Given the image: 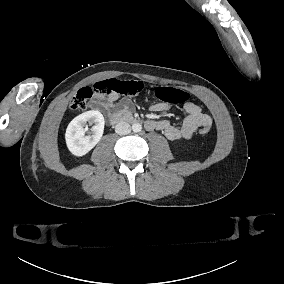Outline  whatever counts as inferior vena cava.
I'll return each instance as SVG.
<instances>
[{
	"mask_svg": "<svg viewBox=\"0 0 284 284\" xmlns=\"http://www.w3.org/2000/svg\"><path fill=\"white\" fill-rule=\"evenodd\" d=\"M115 132L118 135H127L131 132V126L127 122H120L115 126Z\"/></svg>",
	"mask_w": 284,
	"mask_h": 284,
	"instance_id": "1",
	"label": "inferior vena cava"
}]
</instances>
